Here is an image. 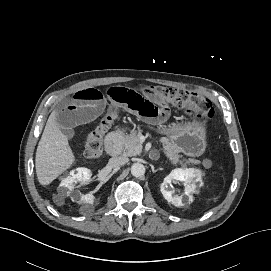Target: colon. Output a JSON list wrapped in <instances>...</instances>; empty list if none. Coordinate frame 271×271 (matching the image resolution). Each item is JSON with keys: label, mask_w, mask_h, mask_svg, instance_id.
Returning a JSON list of instances; mask_svg holds the SVG:
<instances>
[{"label": "colon", "mask_w": 271, "mask_h": 271, "mask_svg": "<svg viewBox=\"0 0 271 271\" xmlns=\"http://www.w3.org/2000/svg\"><path fill=\"white\" fill-rule=\"evenodd\" d=\"M152 90L162 101L179 108H186L190 115H197L202 120H209L214 116L211 101L196 93L166 87H156ZM117 111V107H112L88 135L83 153L85 160H95L101 155L104 134L113 123Z\"/></svg>", "instance_id": "colon-1"}]
</instances>
